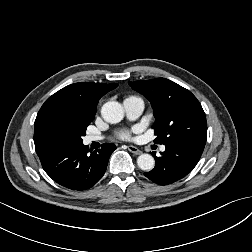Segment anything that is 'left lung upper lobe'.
Masks as SVG:
<instances>
[{
  "mask_svg": "<svg viewBox=\"0 0 252 252\" xmlns=\"http://www.w3.org/2000/svg\"><path fill=\"white\" fill-rule=\"evenodd\" d=\"M129 85L151 102L156 118L152 126L156 143L193 142L205 146V113L189 90L165 78L129 82Z\"/></svg>",
  "mask_w": 252,
  "mask_h": 252,
  "instance_id": "1",
  "label": "left lung upper lobe"
}]
</instances>
